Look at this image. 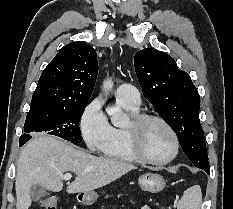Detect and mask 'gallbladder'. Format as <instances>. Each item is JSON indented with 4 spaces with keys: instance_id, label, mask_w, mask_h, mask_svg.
<instances>
[{
    "instance_id": "obj_1",
    "label": "gallbladder",
    "mask_w": 233,
    "mask_h": 209,
    "mask_svg": "<svg viewBox=\"0 0 233 209\" xmlns=\"http://www.w3.org/2000/svg\"><path fill=\"white\" fill-rule=\"evenodd\" d=\"M47 194L46 189L39 184L33 185L30 190L31 199L33 201L39 200Z\"/></svg>"
}]
</instances>
